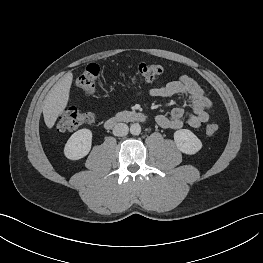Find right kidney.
I'll return each instance as SVG.
<instances>
[{
  "instance_id": "right-kidney-1",
  "label": "right kidney",
  "mask_w": 263,
  "mask_h": 263,
  "mask_svg": "<svg viewBox=\"0 0 263 263\" xmlns=\"http://www.w3.org/2000/svg\"><path fill=\"white\" fill-rule=\"evenodd\" d=\"M91 144L92 132L89 129H80L68 139L64 154L70 160H79L89 153Z\"/></svg>"
}]
</instances>
